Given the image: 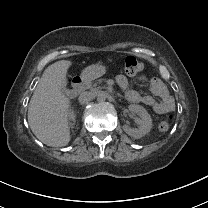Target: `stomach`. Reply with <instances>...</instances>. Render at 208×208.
Returning a JSON list of instances; mask_svg holds the SVG:
<instances>
[{
    "instance_id": "stomach-1",
    "label": "stomach",
    "mask_w": 208,
    "mask_h": 208,
    "mask_svg": "<svg viewBox=\"0 0 208 208\" xmlns=\"http://www.w3.org/2000/svg\"><path fill=\"white\" fill-rule=\"evenodd\" d=\"M108 71V66L101 63L92 64L85 67L81 72V77L84 81H91L102 77Z\"/></svg>"
}]
</instances>
